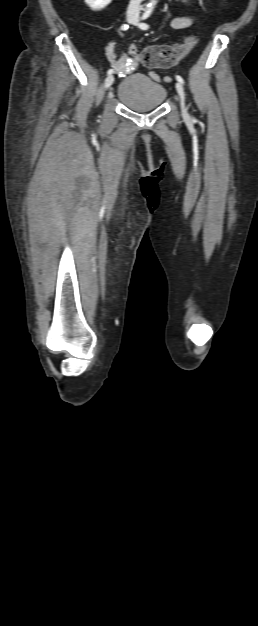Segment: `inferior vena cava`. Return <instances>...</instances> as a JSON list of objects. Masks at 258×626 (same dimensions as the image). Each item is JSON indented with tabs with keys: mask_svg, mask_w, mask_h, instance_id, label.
Here are the masks:
<instances>
[{
	"mask_svg": "<svg viewBox=\"0 0 258 626\" xmlns=\"http://www.w3.org/2000/svg\"><path fill=\"white\" fill-rule=\"evenodd\" d=\"M141 1L142 0H130L129 6L127 9V15L138 17Z\"/></svg>",
	"mask_w": 258,
	"mask_h": 626,
	"instance_id": "inferior-vena-cava-1",
	"label": "inferior vena cava"
}]
</instances>
